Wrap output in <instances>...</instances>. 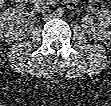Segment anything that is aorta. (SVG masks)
I'll use <instances>...</instances> for the list:
<instances>
[{"mask_svg":"<svg viewBox=\"0 0 111 106\" xmlns=\"http://www.w3.org/2000/svg\"><path fill=\"white\" fill-rule=\"evenodd\" d=\"M55 12L58 16H62L64 14V9L63 8H57Z\"/></svg>","mask_w":111,"mask_h":106,"instance_id":"aorta-1","label":"aorta"}]
</instances>
